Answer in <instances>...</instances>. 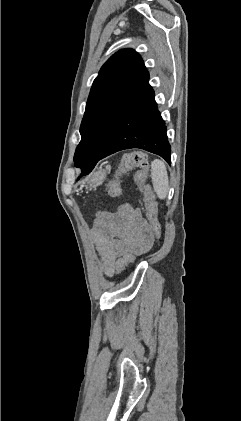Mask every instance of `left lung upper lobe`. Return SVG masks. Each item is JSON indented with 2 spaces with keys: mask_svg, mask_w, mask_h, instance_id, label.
Masks as SVG:
<instances>
[{
  "mask_svg": "<svg viewBox=\"0 0 241 421\" xmlns=\"http://www.w3.org/2000/svg\"><path fill=\"white\" fill-rule=\"evenodd\" d=\"M146 72L143 60L132 49L116 52L93 82L76 148V167L95 162L106 148L129 99Z\"/></svg>",
  "mask_w": 241,
  "mask_h": 421,
  "instance_id": "1",
  "label": "left lung upper lobe"
}]
</instances>
